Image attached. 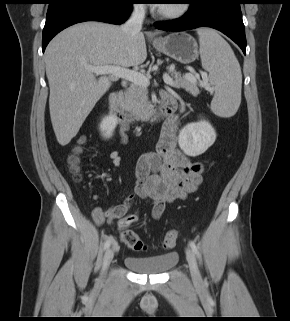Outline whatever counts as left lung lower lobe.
Wrapping results in <instances>:
<instances>
[{
    "instance_id": "left-lung-lower-lobe-1",
    "label": "left lung lower lobe",
    "mask_w": 290,
    "mask_h": 321,
    "mask_svg": "<svg viewBox=\"0 0 290 321\" xmlns=\"http://www.w3.org/2000/svg\"><path fill=\"white\" fill-rule=\"evenodd\" d=\"M188 3L191 6L183 17L155 23V27L165 31L211 27L231 38L245 54V28L240 9L242 0H195Z\"/></svg>"
}]
</instances>
